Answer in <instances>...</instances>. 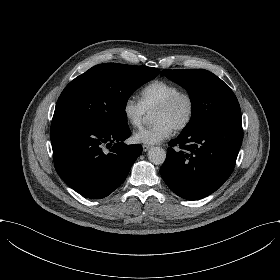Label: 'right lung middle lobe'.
I'll return each instance as SVG.
<instances>
[{
    "instance_id": "1",
    "label": "right lung middle lobe",
    "mask_w": 280,
    "mask_h": 280,
    "mask_svg": "<svg viewBox=\"0 0 280 280\" xmlns=\"http://www.w3.org/2000/svg\"><path fill=\"white\" fill-rule=\"evenodd\" d=\"M159 73L152 67L96 65L66 86L52 121L74 120L102 129L128 126L125 108L130 95Z\"/></svg>"
}]
</instances>
